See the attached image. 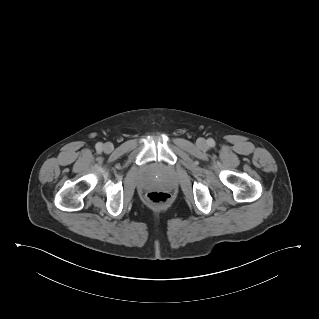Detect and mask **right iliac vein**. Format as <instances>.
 I'll use <instances>...</instances> for the list:
<instances>
[{
	"label": "right iliac vein",
	"mask_w": 319,
	"mask_h": 319,
	"mask_svg": "<svg viewBox=\"0 0 319 319\" xmlns=\"http://www.w3.org/2000/svg\"><path fill=\"white\" fill-rule=\"evenodd\" d=\"M103 149L105 152H111L113 150V145L112 143H106L103 146Z\"/></svg>",
	"instance_id": "63e3f726"
}]
</instances>
